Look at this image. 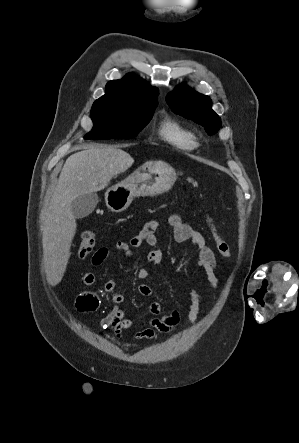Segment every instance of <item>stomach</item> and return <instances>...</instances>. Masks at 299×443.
I'll use <instances>...</instances> for the list:
<instances>
[{
	"label": "stomach",
	"mask_w": 299,
	"mask_h": 443,
	"mask_svg": "<svg viewBox=\"0 0 299 443\" xmlns=\"http://www.w3.org/2000/svg\"><path fill=\"white\" fill-rule=\"evenodd\" d=\"M177 177L174 169L164 162H148L124 181L105 192L107 207L113 212L125 210L137 196H155L167 192Z\"/></svg>",
	"instance_id": "0dacf381"
}]
</instances>
